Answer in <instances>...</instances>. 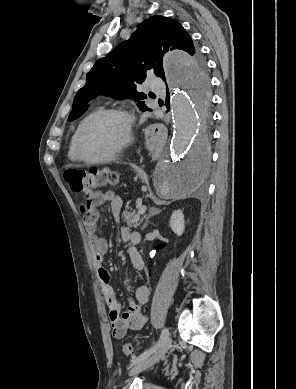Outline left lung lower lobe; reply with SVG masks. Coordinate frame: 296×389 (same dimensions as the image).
Segmentation results:
<instances>
[{"label":"left lung lower lobe","instance_id":"left-lung-lower-lobe-1","mask_svg":"<svg viewBox=\"0 0 296 389\" xmlns=\"http://www.w3.org/2000/svg\"><path fill=\"white\" fill-rule=\"evenodd\" d=\"M196 87V86H195ZM169 99H170V97H169V90L167 89V96H166V101H165V105L167 106V109L169 110ZM205 162V155L203 154H201V155H197V156H193L188 162H187V164H186V166H185V169H184V171L186 170V172L188 173V175L191 177V176H193L194 175V173L195 172H197V170H199L201 167H202V165H203V163ZM189 176L187 177H185L186 179H187V181L189 182L190 180V178H189ZM190 183V182H189ZM190 185H191V188L194 186V184L193 183H190Z\"/></svg>","mask_w":296,"mask_h":389}]
</instances>
